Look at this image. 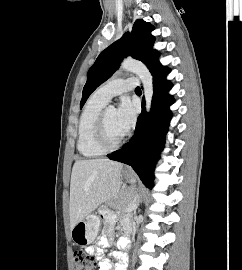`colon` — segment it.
I'll use <instances>...</instances> for the list:
<instances>
[{"mask_svg":"<svg viewBox=\"0 0 242 270\" xmlns=\"http://www.w3.org/2000/svg\"><path fill=\"white\" fill-rule=\"evenodd\" d=\"M74 265L75 270H94L96 265L95 258L83 251H76L74 253Z\"/></svg>","mask_w":242,"mask_h":270,"instance_id":"colon-1","label":"colon"}]
</instances>
